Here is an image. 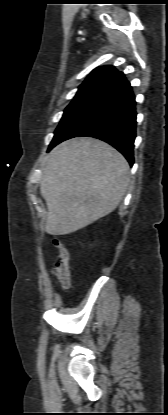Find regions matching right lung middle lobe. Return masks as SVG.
<instances>
[{"mask_svg":"<svg viewBox=\"0 0 168 415\" xmlns=\"http://www.w3.org/2000/svg\"><path fill=\"white\" fill-rule=\"evenodd\" d=\"M99 94L97 93H77L72 102L67 106L64 111L63 117L58 125L55 134L66 124L70 118L76 114L81 108H83L90 101L95 99Z\"/></svg>","mask_w":168,"mask_h":415,"instance_id":"1","label":"right lung middle lobe"}]
</instances>
